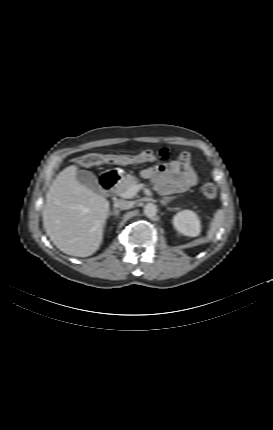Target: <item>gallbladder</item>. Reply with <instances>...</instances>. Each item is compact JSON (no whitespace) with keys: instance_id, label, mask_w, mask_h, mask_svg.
<instances>
[{"instance_id":"bac80fb5","label":"gallbladder","mask_w":273,"mask_h":430,"mask_svg":"<svg viewBox=\"0 0 273 430\" xmlns=\"http://www.w3.org/2000/svg\"><path fill=\"white\" fill-rule=\"evenodd\" d=\"M76 179L87 188L93 190L96 193L102 192V187L98 182V178L90 171L78 170L76 173Z\"/></svg>"}]
</instances>
